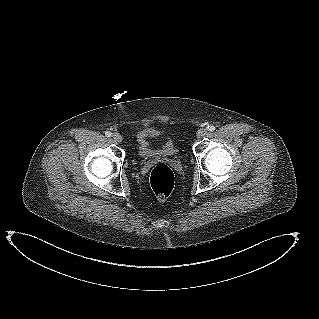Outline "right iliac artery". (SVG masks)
Wrapping results in <instances>:
<instances>
[{"label":"right iliac artery","mask_w":319,"mask_h":319,"mask_svg":"<svg viewBox=\"0 0 319 319\" xmlns=\"http://www.w3.org/2000/svg\"><path fill=\"white\" fill-rule=\"evenodd\" d=\"M105 135H106V137H111V136H112V133H111L110 131H106V132H105Z\"/></svg>","instance_id":"obj_1"}]
</instances>
